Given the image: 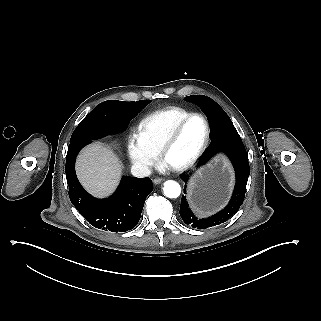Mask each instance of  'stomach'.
Returning <instances> with one entry per match:
<instances>
[{
  "label": "stomach",
  "instance_id": "obj_1",
  "mask_svg": "<svg viewBox=\"0 0 321 321\" xmlns=\"http://www.w3.org/2000/svg\"><path fill=\"white\" fill-rule=\"evenodd\" d=\"M232 187V168L224 157L218 156L191 178L187 197L195 211L207 214L225 204Z\"/></svg>",
  "mask_w": 321,
  "mask_h": 321
}]
</instances>
